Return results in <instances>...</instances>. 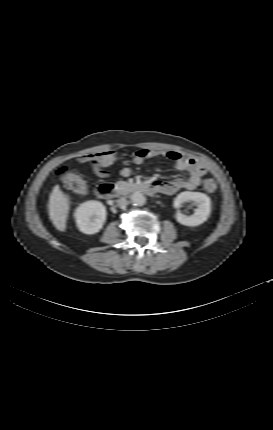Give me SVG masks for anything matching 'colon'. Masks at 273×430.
Segmentation results:
<instances>
[{"instance_id":"obj_1","label":"colon","mask_w":273,"mask_h":430,"mask_svg":"<svg viewBox=\"0 0 273 430\" xmlns=\"http://www.w3.org/2000/svg\"><path fill=\"white\" fill-rule=\"evenodd\" d=\"M57 174L66 189L78 194L85 193L87 190L86 181L81 176L72 172L68 167L64 166L60 168ZM203 186L208 193H213L217 190V183L213 179H206Z\"/></svg>"}]
</instances>
